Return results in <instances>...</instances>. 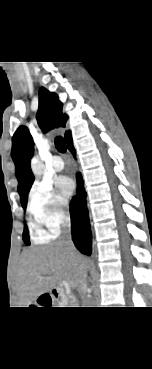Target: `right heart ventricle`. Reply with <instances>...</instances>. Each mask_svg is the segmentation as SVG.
I'll return each mask as SVG.
<instances>
[{
    "mask_svg": "<svg viewBox=\"0 0 152 369\" xmlns=\"http://www.w3.org/2000/svg\"><path fill=\"white\" fill-rule=\"evenodd\" d=\"M32 226H33L34 234L37 240H45L49 238L46 235H44V233L40 230V228L36 224H33Z\"/></svg>",
    "mask_w": 152,
    "mask_h": 369,
    "instance_id": "1",
    "label": "right heart ventricle"
}]
</instances>
